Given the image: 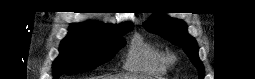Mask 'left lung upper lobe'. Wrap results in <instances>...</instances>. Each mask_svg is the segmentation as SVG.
<instances>
[{
    "instance_id": "left-lung-upper-lobe-1",
    "label": "left lung upper lobe",
    "mask_w": 255,
    "mask_h": 79,
    "mask_svg": "<svg viewBox=\"0 0 255 79\" xmlns=\"http://www.w3.org/2000/svg\"><path fill=\"white\" fill-rule=\"evenodd\" d=\"M144 27L168 39L174 45L183 48L191 62L198 69L199 79L204 78V67L198 58L197 43L187 33V27L184 22L168 18L164 15H155L144 23Z\"/></svg>"
}]
</instances>
